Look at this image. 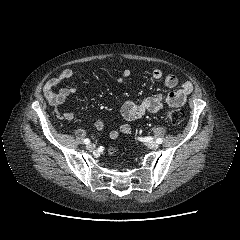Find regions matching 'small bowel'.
I'll list each match as a JSON object with an SVG mask.
<instances>
[{"label":"small bowel","instance_id":"c3829d8e","mask_svg":"<svg viewBox=\"0 0 240 240\" xmlns=\"http://www.w3.org/2000/svg\"><path fill=\"white\" fill-rule=\"evenodd\" d=\"M75 74L72 69H65L57 76L49 79L44 87V93L48 102L55 108L63 104L71 95H74L78 91V86L72 84L69 86L61 87L57 89L63 82L71 79ZM152 78L155 80H162L166 87L175 88L179 86L176 91L167 94H153L146 97L140 102L126 101L120 107L118 113L120 118L123 120L119 129H114L110 132L109 136L111 139H116L120 133L129 134L131 127L129 122L135 121L141 118L147 112L157 113L160 112L164 105L172 107H180L185 104L188 95L193 91V85L189 81L179 82L178 78L172 74H165L161 69H154L152 71ZM131 77V71L125 70L117 78L118 83H123ZM62 117L68 121L74 119L75 115L73 112L66 111L62 114ZM95 128L98 131L103 130L104 120L102 117H97L95 121Z\"/></svg>","mask_w":240,"mask_h":240}]
</instances>
